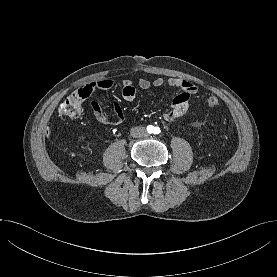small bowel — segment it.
Here are the masks:
<instances>
[{
    "mask_svg": "<svg viewBox=\"0 0 277 277\" xmlns=\"http://www.w3.org/2000/svg\"><path fill=\"white\" fill-rule=\"evenodd\" d=\"M137 84L138 87L143 90L160 88L166 85L181 89V93L173 98L170 106L163 113V118L166 121H175L182 117L188 110L191 96L196 94L198 91V87L195 83L174 77L168 79L158 77L153 80L140 78ZM113 85L114 81L112 79L104 78L91 82L80 88L78 91H85L87 92L88 97H90L94 91L108 90L112 88ZM122 97L127 102H132L136 98V88L132 81L124 80L122 82ZM91 106L95 118L103 124H118L124 118L122 109L117 102H113V116L106 115L101 104L97 100L92 101Z\"/></svg>",
    "mask_w": 277,
    "mask_h": 277,
    "instance_id": "c3829d8e",
    "label": "small bowel"
}]
</instances>
